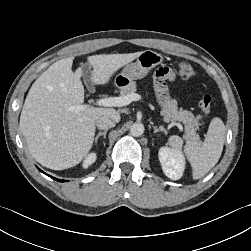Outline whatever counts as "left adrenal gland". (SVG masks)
<instances>
[{
    "instance_id": "a2214340",
    "label": "left adrenal gland",
    "mask_w": 251,
    "mask_h": 251,
    "mask_svg": "<svg viewBox=\"0 0 251 251\" xmlns=\"http://www.w3.org/2000/svg\"><path fill=\"white\" fill-rule=\"evenodd\" d=\"M153 129H154V134L157 133V132H164V133L167 132V131L163 128V126H159V127L154 126Z\"/></svg>"
}]
</instances>
